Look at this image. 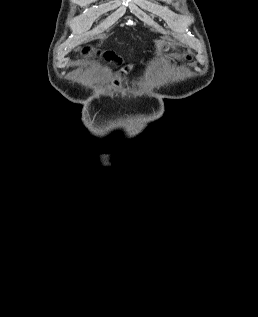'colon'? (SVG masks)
I'll list each match as a JSON object with an SVG mask.
<instances>
[{"mask_svg": "<svg viewBox=\"0 0 258 317\" xmlns=\"http://www.w3.org/2000/svg\"><path fill=\"white\" fill-rule=\"evenodd\" d=\"M82 54L83 56L85 57H90V56H93V55H100L102 56V58L105 60V61H108V62H113V63H117L118 62V57L115 55V53L111 52V51H106V52H99L95 47L93 46H87L83 49L82 51Z\"/></svg>", "mask_w": 258, "mask_h": 317, "instance_id": "colon-1", "label": "colon"}]
</instances>
